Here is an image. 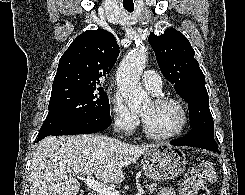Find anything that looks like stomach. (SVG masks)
<instances>
[{
    "label": "stomach",
    "mask_w": 245,
    "mask_h": 195,
    "mask_svg": "<svg viewBox=\"0 0 245 195\" xmlns=\"http://www.w3.org/2000/svg\"><path fill=\"white\" fill-rule=\"evenodd\" d=\"M186 156L177 147L158 145L143 154L141 168L154 181H169L178 177L185 168Z\"/></svg>",
    "instance_id": "stomach-1"
}]
</instances>
